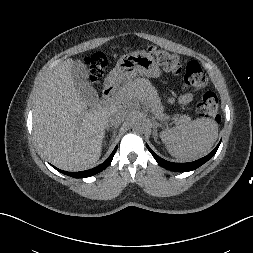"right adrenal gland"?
Here are the masks:
<instances>
[{"label": "right adrenal gland", "instance_id": "2a0ac1e0", "mask_svg": "<svg viewBox=\"0 0 253 253\" xmlns=\"http://www.w3.org/2000/svg\"><path fill=\"white\" fill-rule=\"evenodd\" d=\"M111 129L113 130V138H114L116 135L117 126H114L112 128H110V126H107V128H106L107 132H109V130H111Z\"/></svg>", "mask_w": 253, "mask_h": 253}]
</instances>
